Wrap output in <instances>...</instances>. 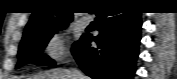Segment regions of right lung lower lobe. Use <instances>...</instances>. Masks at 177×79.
Instances as JSON below:
<instances>
[{
	"mask_svg": "<svg viewBox=\"0 0 177 79\" xmlns=\"http://www.w3.org/2000/svg\"><path fill=\"white\" fill-rule=\"evenodd\" d=\"M100 34H84L72 49L80 68L93 79H132L141 35V13L108 7L96 12ZM95 41L97 47H91Z\"/></svg>",
	"mask_w": 177,
	"mask_h": 79,
	"instance_id": "1",
	"label": "right lung lower lobe"
}]
</instances>
